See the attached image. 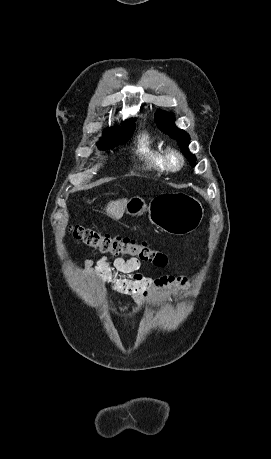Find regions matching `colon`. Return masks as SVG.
<instances>
[{"instance_id": "obj_1", "label": "colon", "mask_w": 271, "mask_h": 459, "mask_svg": "<svg viewBox=\"0 0 271 459\" xmlns=\"http://www.w3.org/2000/svg\"><path fill=\"white\" fill-rule=\"evenodd\" d=\"M71 236L85 246L114 256H130L141 261L151 262L155 266L163 267L168 263L165 254L155 250L146 242L120 236H111L96 229L72 226L69 228Z\"/></svg>"}]
</instances>
